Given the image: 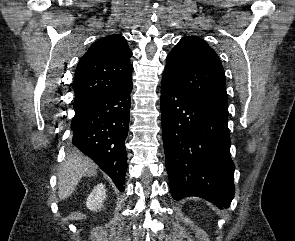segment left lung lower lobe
Instances as JSON below:
<instances>
[{
  "mask_svg": "<svg viewBox=\"0 0 295 241\" xmlns=\"http://www.w3.org/2000/svg\"><path fill=\"white\" fill-rule=\"evenodd\" d=\"M161 114L173 198L199 196L228 207L234 197L228 113L196 99L163 75Z\"/></svg>",
  "mask_w": 295,
  "mask_h": 241,
  "instance_id": "left-lung-lower-lobe-1",
  "label": "left lung lower lobe"
}]
</instances>
